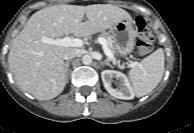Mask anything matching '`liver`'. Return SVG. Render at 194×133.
Here are the masks:
<instances>
[{
	"instance_id": "1",
	"label": "liver",
	"mask_w": 194,
	"mask_h": 133,
	"mask_svg": "<svg viewBox=\"0 0 194 133\" xmlns=\"http://www.w3.org/2000/svg\"><path fill=\"white\" fill-rule=\"evenodd\" d=\"M84 15L87 19L82 22ZM130 14L111 4L56 5L34 13L14 38L8 64L21 89L38 100L58 96L66 85L63 55L69 47L41 42L42 37H87L111 28Z\"/></svg>"
}]
</instances>
